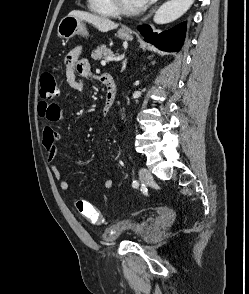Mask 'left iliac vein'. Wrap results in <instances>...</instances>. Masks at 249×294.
I'll use <instances>...</instances> for the list:
<instances>
[{
	"mask_svg": "<svg viewBox=\"0 0 249 294\" xmlns=\"http://www.w3.org/2000/svg\"><path fill=\"white\" fill-rule=\"evenodd\" d=\"M140 180L142 183L148 185L153 181V176L146 168H141L139 171Z\"/></svg>",
	"mask_w": 249,
	"mask_h": 294,
	"instance_id": "4c4485c4",
	"label": "left iliac vein"
}]
</instances>
